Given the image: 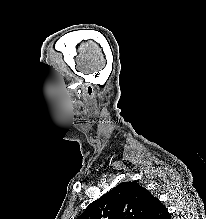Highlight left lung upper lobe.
Instances as JSON below:
<instances>
[{
	"mask_svg": "<svg viewBox=\"0 0 206 219\" xmlns=\"http://www.w3.org/2000/svg\"><path fill=\"white\" fill-rule=\"evenodd\" d=\"M153 196L136 182H123L92 202L77 219H148Z\"/></svg>",
	"mask_w": 206,
	"mask_h": 219,
	"instance_id": "left-lung-upper-lobe-1",
	"label": "left lung upper lobe"
}]
</instances>
